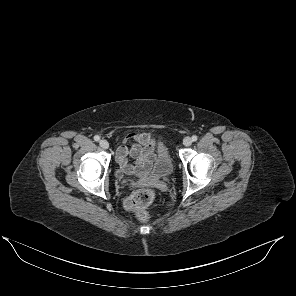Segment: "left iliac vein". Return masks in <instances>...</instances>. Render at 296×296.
Wrapping results in <instances>:
<instances>
[{
  "instance_id": "4c4485c4",
  "label": "left iliac vein",
  "mask_w": 296,
  "mask_h": 296,
  "mask_svg": "<svg viewBox=\"0 0 296 296\" xmlns=\"http://www.w3.org/2000/svg\"><path fill=\"white\" fill-rule=\"evenodd\" d=\"M183 144L186 147H189L192 144V139L190 137H185L184 140H183Z\"/></svg>"
}]
</instances>
